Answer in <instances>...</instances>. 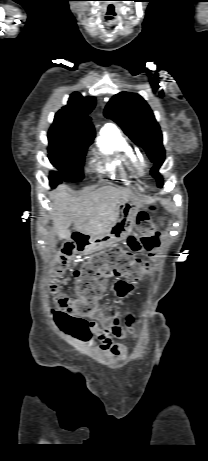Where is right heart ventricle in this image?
Instances as JSON below:
<instances>
[{"label": "right heart ventricle", "instance_id": "obj_1", "mask_svg": "<svg viewBox=\"0 0 208 461\" xmlns=\"http://www.w3.org/2000/svg\"><path fill=\"white\" fill-rule=\"evenodd\" d=\"M100 156L105 160L133 159V150L127 139L113 125L105 126L97 140Z\"/></svg>", "mask_w": 208, "mask_h": 461}]
</instances>
